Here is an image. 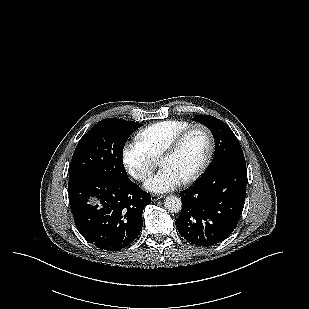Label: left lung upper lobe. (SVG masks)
I'll return each mask as SVG.
<instances>
[{
	"mask_svg": "<svg viewBox=\"0 0 309 309\" xmlns=\"http://www.w3.org/2000/svg\"><path fill=\"white\" fill-rule=\"evenodd\" d=\"M194 120L205 125L212 132L215 140L214 158L206 170L226 160L244 157L238 139L224 122L208 115H197Z\"/></svg>",
	"mask_w": 309,
	"mask_h": 309,
	"instance_id": "obj_1",
	"label": "left lung upper lobe"
}]
</instances>
